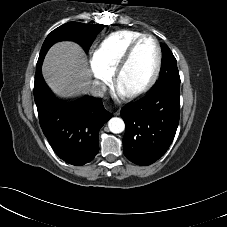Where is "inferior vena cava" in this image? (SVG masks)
Segmentation results:
<instances>
[{
	"instance_id": "602c4592",
	"label": "inferior vena cava",
	"mask_w": 227,
	"mask_h": 227,
	"mask_svg": "<svg viewBox=\"0 0 227 227\" xmlns=\"http://www.w3.org/2000/svg\"><path fill=\"white\" fill-rule=\"evenodd\" d=\"M89 91L94 97H103L106 91V86L103 83L95 81L91 85Z\"/></svg>"
}]
</instances>
